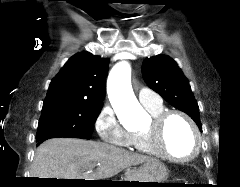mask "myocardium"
Here are the masks:
<instances>
[{
  "instance_id": "f54148a6",
  "label": "myocardium",
  "mask_w": 240,
  "mask_h": 187,
  "mask_svg": "<svg viewBox=\"0 0 240 187\" xmlns=\"http://www.w3.org/2000/svg\"><path fill=\"white\" fill-rule=\"evenodd\" d=\"M175 115L182 117L187 122L193 132L195 139L193 152L184 158H179L171 155L163 148L162 145L164 126L167 120L171 116ZM143 133L147 137L149 146L155 155L175 163L190 162L194 160L201 151L202 138L198 126L187 113L180 110L163 111L156 116H152V120L149 126L143 130Z\"/></svg>"
}]
</instances>
